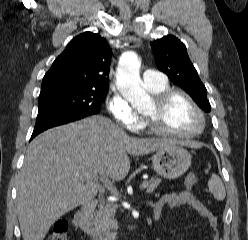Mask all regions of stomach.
Masks as SVG:
<instances>
[{"mask_svg": "<svg viewBox=\"0 0 248 240\" xmlns=\"http://www.w3.org/2000/svg\"><path fill=\"white\" fill-rule=\"evenodd\" d=\"M152 161L154 170L160 176L175 179L188 170L191 165V155L185 148L175 144L158 149Z\"/></svg>", "mask_w": 248, "mask_h": 240, "instance_id": "1", "label": "stomach"}]
</instances>
